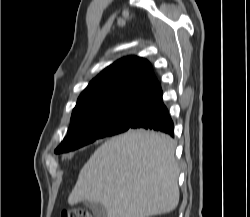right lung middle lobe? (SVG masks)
<instances>
[{
  "instance_id": "dd1d6c3e",
  "label": "right lung middle lobe",
  "mask_w": 250,
  "mask_h": 217,
  "mask_svg": "<svg viewBox=\"0 0 250 217\" xmlns=\"http://www.w3.org/2000/svg\"><path fill=\"white\" fill-rule=\"evenodd\" d=\"M139 106L140 104L123 105L71 119L67 136L55 153L75 150L97 139L127 131Z\"/></svg>"
}]
</instances>
